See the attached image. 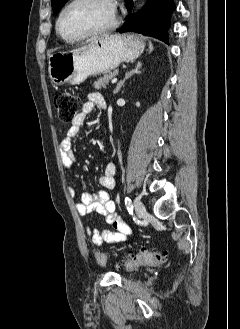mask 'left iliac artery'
Wrapping results in <instances>:
<instances>
[{
  "instance_id": "obj_1",
  "label": "left iliac artery",
  "mask_w": 240,
  "mask_h": 329,
  "mask_svg": "<svg viewBox=\"0 0 240 329\" xmlns=\"http://www.w3.org/2000/svg\"><path fill=\"white\" fill-rule=\"evenodd\" d=\"M125 205L127 207V210L129 211L130 214L133 213V205H132V201L129 197L125 198Z\"/></svg>"
}]
</instances>
